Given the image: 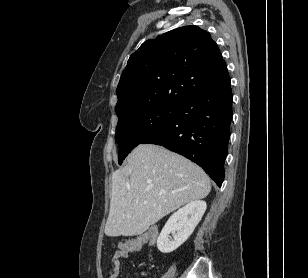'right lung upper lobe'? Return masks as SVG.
<instances>
[{"instance_id":"cb5924a9","label":"right lung upper lobe","mask_w":308,"mask_h":278,"mask_svg":"<svg viewBox=\"0 0 308 278\" xmlns=\"http://www.w3.org/2000/svg\"><path fill=\"white\" fill-rule=\"evenodd\" d=\"M227 66L210 34L184 26L147 40L133 53L118 87V119L154 106L179 104L229 80Z\"/></svg>"}]
</instances>
